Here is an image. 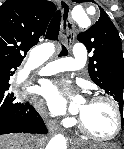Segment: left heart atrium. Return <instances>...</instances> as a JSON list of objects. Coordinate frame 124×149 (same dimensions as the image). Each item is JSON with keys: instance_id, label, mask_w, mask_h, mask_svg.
Listing matches in <instances>:
<instances>
[{"instance_id": "1", "label": "left heart atrium", "mask_w": 124, "mask_h": 149, "mask_svg": "<svg viewBox=\"0 0 124 149\" xmlns=\"http://www.w3.org/2000/svg\"><path fill=\"white\" fill-rule=\"evenodd\" d=\"M47 91L52 97H55V98L58 97V89L56 87L48 86Z\"/></svg>"}]
</instances>
